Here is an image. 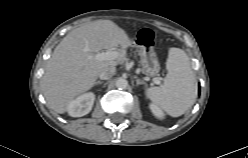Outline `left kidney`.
I'll use <instances>...</instances> for the list:
<instances>
[{
    "label": "left kidney",
    "instance_id": "5707ae66",
    "mask_svg": "<svg viewBox=\"0 0 248 158\" xmlns=\"http://www.w3.org/2000/svg\"><path fill=\"white\" fill-rule=\"evenodd\" d=\"M149 107H150L152 113H153L157 118H159V119L164 118V115H165L164 112H163L157 105L151 103V104L149 105Z\"/></svg>",
    "mask_w": 248,
    "mask_h": 158
}]
</instances>
